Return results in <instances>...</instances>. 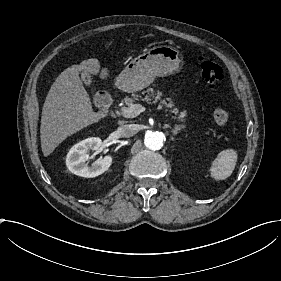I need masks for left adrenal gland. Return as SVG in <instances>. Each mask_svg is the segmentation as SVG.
<instances>
[{
	"label": "left adrenal gland",
	"instance_id": "1",
	"mask_svg": "<svg viewBox=\"0 0 281 281\" xmlns=\"http://www.w3.org/2000/svg\"><path fill=\"white\" fill-rule=\"evenodd\" d=\"M181 127H184L181 124H176V126L174 127L173 133H176Z\"/></svg>",
	"mask_w": 281,
	"mask_h": 281
}]
</instances>
